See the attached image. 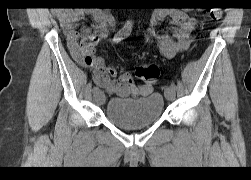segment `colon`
<instances>
[{"label":"colon","mask_w":251,"mask_h":180,"mask_svg":"<svg viewBox=\"0 0 251 180\" xmlns=\"http://www.w3.org/2000/svg\"><path fill=\"white\" fill-rule=\"evenodd\" d=\"M211 16L218 19L221 16V11L218 8L211 10ZM136 77L143 85L153 86L159 77V69L156 65H142L136 70Z\"/></svg>","instance_id":"colon-1"}]
</instances>
